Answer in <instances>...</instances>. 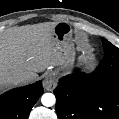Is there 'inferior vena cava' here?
<instances>
[{"instance_id":"1","label":"inferior vena cava","mask_w":119,"mask_h":119,"mask_svg":"<svg viewBox=\"0 0 119 119\" xmlns=\"http://www.w3.org/2000/svg\"><path fill=\"white\" fill-rule=\"evenodd\" d=\"M31 81V77L29 75H20L19 77H17L14 81L15 85L18 84H27Z\"/></svg>"}]
</instances>
